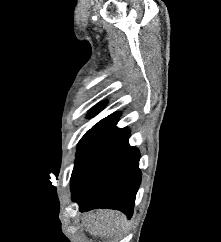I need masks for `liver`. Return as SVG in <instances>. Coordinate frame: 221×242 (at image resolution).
Instances as JSON below:
<instances>
[{
    "mask_svg": "<svg viewBox=\"0 0 221 242\" xmlns=\"http://www.w3.org/2000/svg\"><path fill=\"white\" fill-rule=\"evenodd\" d=\"M125 221L126 217L123 214L111 210L88 213L82 218V224L86 227V231L101 238L120 236Z\"/></svg>",
    "mask_w": 221,
    "mask_h": 242,
    "instance_id": "liver-1",
    "label": "liver"
}]
</instances>
